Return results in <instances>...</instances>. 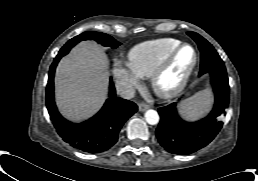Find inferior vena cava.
<instances>
[{
	"label": "inferior vena cava",
	"instance_id": "obj_1",
	"mask_svg": "<svg viewBox=\"0 0 258 181\" xmlns=\"http://www.w3.org/2000/svg\"><path fill=\"white\" fill-rule=\"evenodd\" d=\"M116 90H117V94H119L120 97L124 99H131L135 95V88L127 82H123V81L117 82Z\"/></svg>",
	"mask_w": 258,
	"mask_h": 181
}]
</instances>
